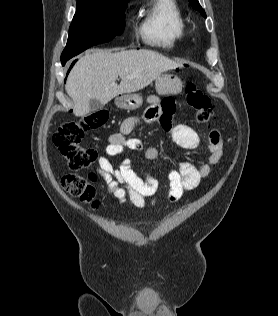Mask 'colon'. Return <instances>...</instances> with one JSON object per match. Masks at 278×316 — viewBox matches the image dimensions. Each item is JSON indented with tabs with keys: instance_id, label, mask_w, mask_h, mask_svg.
<instances>
[{
	"instance_id": "5ec220e1",
	"label": "colon",
	"mask_w": 278,
	"mask_h": 316,
	"mask_svg": "<svg viewBox=\"0 0 278 316\" xmlns=\"http://www.w3.org/2000/svg\"><path fill=\"white\" fill-rule=\"evenodd\" d=\"M185 92L188 105L196 110L197 121L208 122L213 115L209 97L193 81L187 83ZM107 118V112L100 111L79 120L65 122L55 131L53 142L72 170L88 168L97 160L96 150L82 146L81 141L86 132L102 127ZM93 180L94 176L88 180L77 174H68L62 178L61 183L69 195L96 206L95 189L90 182Z\"/></svg>"
}]
</instances>
